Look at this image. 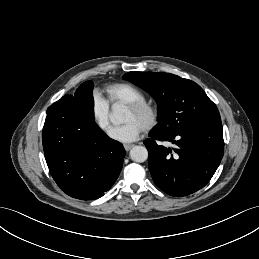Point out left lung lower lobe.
<instances>
[{"instance_id": "left-lung-lower-lobe-1", "label": "left lung lower lobe", "mask_w": 259, "mask_h": 259, "mask_svg": "<svg viewBox=\"0 0 259 259\" xmlns=\"http://www.w3.org/2000/svg\"><path fill=\"white\" fill-rule=\"evenodd\" d=\"M144 141L153 181L171 196H186L203 188L212 178L224 154L222 124L187 130L172 136L150 133ZM176 137V138H175ZM176 139V140H175ZM159 141L176 143L167 149Z\"/></svg>"}]
</instances>
